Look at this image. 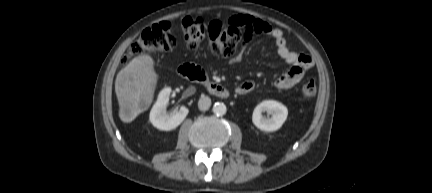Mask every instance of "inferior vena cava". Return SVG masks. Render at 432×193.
I'll return each instance as SVG.
<instances>
[{
  "mask_svg": "<svg viewBox=\"0 0 432 193\" xmlns=\"http://www.w3.org/2000/svg\"><path fill=\"white\" fill-rule=\"evenodd\" d=\"M211 106V99L208 96L202 95L198 101V108L201 111H206Z\"/></svg>",
  "mask_w": 432,
  "mask_h": 193,
  "instance_id": "602c4592",
  "label": "inferior vena cava"
}]
</instances>
